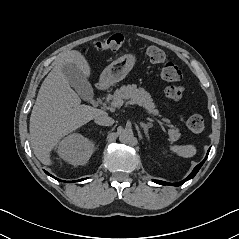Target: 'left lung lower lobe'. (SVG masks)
Masks as SVG:
<instances>
[{
	"label": "left lung lower lobe",
	"instance_id": "left-lung-lower-lobe-1",
	"mask_svg": "<svg viewBox=\"0 0 239 239\" xmlns=\"http://www.w3.org/2000/svg\"><path fill=\"white\" fill-rule=\"evenodd\" d=\"M209 151H210V149H209ZM209 151H208V153H207L205 159H204L200 164H198V165L194 168V170L191 172V174H190L186 179H184L183 181L178 182V183H168V182H164V181H160V180H153V181H154L155 183H158V184H161V185H173V186H180V185H182L184 182H186V181L192 179V178L197 174V172L199 171V169L201 168V166H202L203 163L205 162L206 158L208 157Z\"/></svg>",
	"mask_w": 239,
	"mask_h": 239
}]
</instances>
